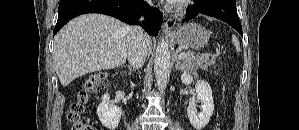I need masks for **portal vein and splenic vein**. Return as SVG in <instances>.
Here are the masks:
<instances>
[{
  "mask_svg": "<svg viewBox=\"0 0 299 130\" xmlns=\"http://www.w3.org/2000/svg\"><path fill=\"white\" fill-rule=\"evenodd\" d=\"M185 53L183 52V53H180L179 55H178V59L179 60H181L183 57H185ZM206 56H210V54H205Z\"/></svg>",
  "mask_w": 299,
  "mask_h": 130,
  "instance_id": "portal-vein-and-splenic-vein-1",
  "label": "portal vein and splenic vein"
}]
</instances>
